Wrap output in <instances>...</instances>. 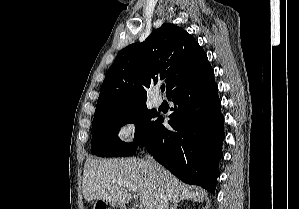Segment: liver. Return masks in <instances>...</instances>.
Wrapping results in <instances>:
<instances>
[{
  "mask_svg": "<svg viewBox=\"0 0 299 209\" xmlns=\"http://www.w3.org/2000/svg\"><path fill=\"white\" fill-rule=\"evenodd\" d=\"M159 177L146 160L88 159L84 165L82 190L86 201L101 199L113 205L124 206L132 199L128 188L114 181H124L138 189L140 205L144 209H154L163 187L168 199L175 205L179 200H207L205 190L192 187L178 180L168 170L161 167Z\"/></svg>",
  "mask_w": 299,
  "mask_h": 209,
  "instance_id": "obj_1",
  "label": "liver"
}]
</instances>
